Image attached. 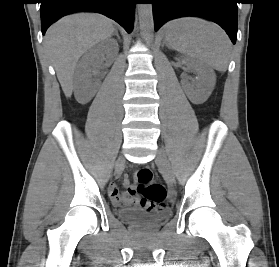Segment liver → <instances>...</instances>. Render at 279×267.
Listing matches in <instances>:
<instances>
[{
    "mask_svg": "<svg viewBox=\"0 0 279 267\" xmlns=\"http://www.w3.org/2000/svg\"><path fill=\"white\" fill-rule=\"evenodd\" d=\"M111 19L95 13H77L61 18L46 32L45 47L66 97L73 91L76 64L84 52L111 37Z\"/></svg>",
    "mask_w": 279,
    "mask_h": 267,
    "instance_id": "6515ba94",
    "label": "liver"
}]
</instances>
